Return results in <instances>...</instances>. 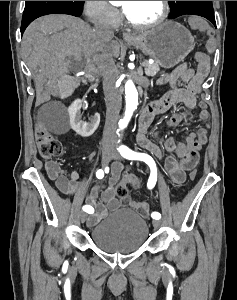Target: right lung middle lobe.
Masks as SVG:
<instances>
[{"instance_id": "obj_1", "label": "right lung middle lobe", "mask_w": 237, "mask_h": 300, "mask_svg": "<svg viewBox=\"0 0 237 300\" xmlns=\"http://www.w3.org/2000/svg\"><path fill=\"white\" fill-rule=\"evenodd\" d=\"M84 1H26L23 20L29 19L41 12L65 7H82Z\"/></svg>"}]
</instances>
